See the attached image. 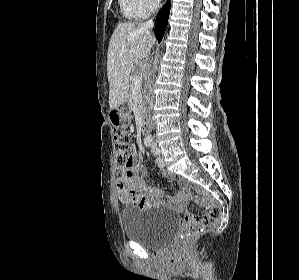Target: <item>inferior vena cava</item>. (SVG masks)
<instances>
[{"label":"inferior vena cava","mask_w":299,"mask_h":280,"mask_svg":"<svg viewBox=\"0 0 299 280\" xmlns=\"http://www.w3.org/2000/svg\"><path fill=\"white\" fill-rule=\"evenodd\" d=\"M153 26H154V23H153L152 19L146 21L143 25L144 29H146V30L153 28Z\"/></svg>","instance_id":"obj_1"}]
</instances>
